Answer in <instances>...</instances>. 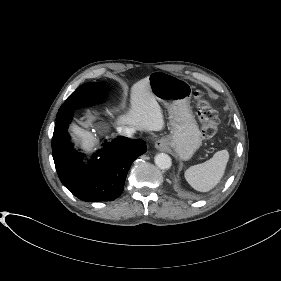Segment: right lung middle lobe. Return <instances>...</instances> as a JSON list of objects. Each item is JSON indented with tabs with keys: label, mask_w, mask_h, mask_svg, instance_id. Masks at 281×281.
Instances as JSON below:
<instances>
[{
	"label": "right lung middle lobe",
	"mask_w": 281,
	"mask_h": 281,
	"mask_svg": "<svg viewBox=\"0 0 281 281\" xmlns=\"http://www.w3.org/2000/svg\"><path fill=\"white\" fill-rule=\"evenodd\" d=\"M106 90L104 83L98 82H88L78 87L62 104L57 113L56 120L75 109L100 102Z\"/></svg>",
	"instance_id": "right-lung-middle-lobe-1"
}]
</instances>
